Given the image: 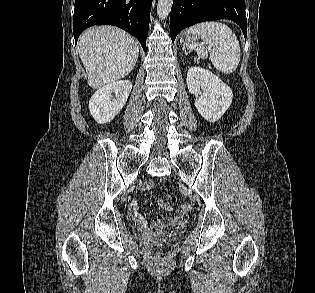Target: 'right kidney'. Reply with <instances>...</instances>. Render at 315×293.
<instances>
[{
    "instance_id": "obj_1",
    "label": "right kidney",
    "mask_w": 315,
    "mask_h": 293,
    "mask_svg": "<svg viewBox=\"0 0 315 293\" xmlns=\"http://www.w3.org/2000/svg\"><path fill=\"white\" fill-rule=\"evenodd\" d=\"M131 89L132 83L128 80L113 82L98 89L89 101V111L94 120L99 124L113 120L125 105Z\"/></svg>"
}]
</instances>
